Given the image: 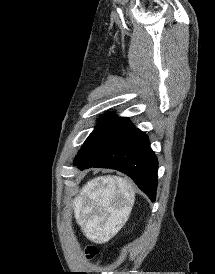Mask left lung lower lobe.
I'll return each mask as SVG.
<instances>
[{"instance_id":"1","label":"left lung lower lobe","mask_w":215,"mask_h":274,"mask_svg":"<svg viewBox=\"0 0 215 274\" xmlns=\"http://www.w3.org/2000/svg\"><path fill=\"white\" fill-rule=\"evenodd\" d=\"M81 170L92 167L116 169L131 177L155 201L158 161L146 134L129 121L122 124L81 161Z\"/></svg>"}]
</instances>
